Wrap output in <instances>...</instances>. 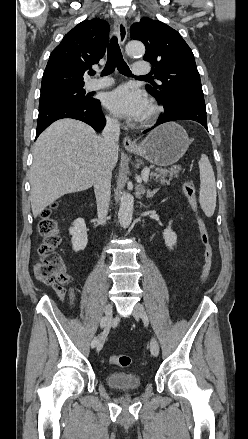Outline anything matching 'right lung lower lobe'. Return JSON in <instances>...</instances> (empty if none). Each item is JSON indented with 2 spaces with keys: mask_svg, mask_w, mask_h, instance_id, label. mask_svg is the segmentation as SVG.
<instances>
[{
  "mask_svg": "<svg viewBox=\"0 0 248 439\" xmlns=\"http://www.w3.org/2000/svg\"><path fill=\"white\" fill-rule=\"evenodd\" d=\"M62 118L81 120L92 126L94 130L98 132L101 131L106 124L98 99H94L90 103L71 102L39 111L36 138L51 123Z\"/></svg>",
  "mask_w": 248,
  "mask_h": 439,
  "instance_id": "98d812e1",
  "label": "right lung lower lobe"
}]
</instances>
